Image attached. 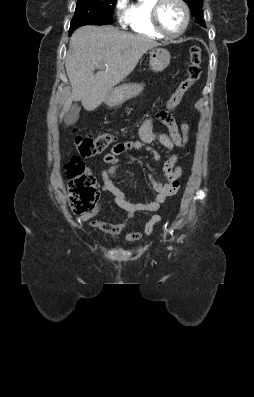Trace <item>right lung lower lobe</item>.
Wrapping results in <instances>:
<instances>
[{
	"label": "right lung lower lobe",
	"instance_id": "obj_1",
	"mask_svg": "<svg viewBox=\"0 0 254 397\" xmlns=\"http://www.w3.org/2000/svg\"><path fill=\"white\" fill-rule=\"evenodd\" d=\"M75 31V29H70L69 36Z\"/></svg>",
	"mask_w": 254,
	"mask_h": 397
}]
</instances>
